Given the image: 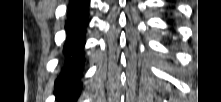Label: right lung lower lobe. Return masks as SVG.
<instances>
[{
	"label": "right lung lower lobe",
	"mask_w": 221,
	"mask_h": 102,
	"mask_svg": "<svg viewBox=\"0 0 221 102\" xmlns=\"http://www.w3.org/2000/svg\"><path fill=\"white\" fill-rule=\"evenodd\" d=\"M88 23V1L72 0L68 6L65 20L66 40L62 52V70L55 82L54 93L58 98L74 99L80 94Z\"/></svg>",
	"instance_id": "right-lung-lower-lobe-1"
}]
</instances>
